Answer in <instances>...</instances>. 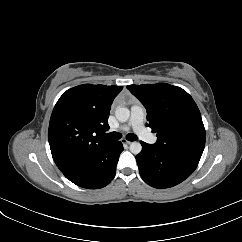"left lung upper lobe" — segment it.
<instances>
[{
    "instance_id": "1",
    "label": "left lung upper lobe",
    "mask_w": 242,
    "mask_h": 242,
    "mask_svg": "<svg viewBox=\"0 0 242 242\" xmlns=\"http://www.w3.org/2000/svg\"><path fill=\"white\" fill-rule=\"evenodd\" d=\"M147 110L148 126L158 137V149L200 160L205 128L199 109L182 88L166 83L129 85Z\"/></svg>"
}]
</instances>
